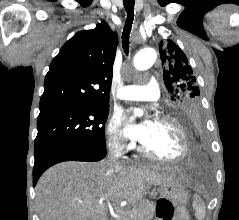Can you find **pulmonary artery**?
Wrapping results in <instances>:
<instances>
[{
  "instance_id": "pulmonary-artery-1",
  "label": "pulmonary artery",
  "mask_w": 239,
  "mask_h": 220,
  "mask_svg": "<svg viewBox=\"0 0 239 220\" xmlns=\"http://www.w3.org/2000/svg\"><path fill=\"white\" fill-rule=\"evenodd\" d=\"M159 95L160 89L155 79H150L145 84L124 86L117 92L119 99L130 101H154Z\"/></svg>"
}]
</instances>
